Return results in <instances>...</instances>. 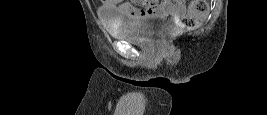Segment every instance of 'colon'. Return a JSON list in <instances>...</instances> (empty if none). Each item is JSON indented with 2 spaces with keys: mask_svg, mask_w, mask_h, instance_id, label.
<instances>
[{
  "mask_svg": "<svg viewBox=\"0 0 267 115\" xmlns=\"http://www.w3.org/2000/svg\"><path fill=\"white\" fill-rule=\"evenodd\" d=\"M205 8V3L199 0L190 1V9L188 13L181 19L180 25L176 28L170 29L164 35L165 38H170L178 35L184 29H192L197 24V16L202 13Z\"/></svg>",
  "mask_w": 267,
  "mask_h": 115,
  "instance_id": "5ec220e1",
  "label": "colon"
}]
</instances>
